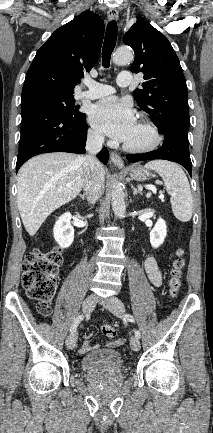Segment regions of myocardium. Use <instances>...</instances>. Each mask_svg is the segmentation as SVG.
<instances>
[{"mask_svg": "<svg viewBox=\"0 0 213 433\" xmlns=\"http://www.w3.org/2000/svg\"><path fill=\"white\" fill-rule=\"evenodd\" d=\"M139 123L144 126L151 135V140L143 146H130L123 143V149L130 153H146L156 149L162 142V135L159 128L150 120L142 118Z\"/></svg>", "mask_w": 213, "mask_h": 433, "instance_id": "myocardium-1", "label": "myocardium"}]
</instances>
